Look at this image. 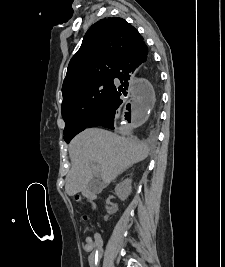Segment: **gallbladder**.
<instances>
[{
    "mask_svg": "<svg viewBox=\"0 0 225 267\" xmlns=\"http://www.w3.org/2000/svg\"><path fill=\"white\" fill-rule=\"evenodd\" d=\"M89 188H90V189H93V183H90V184H89Z\"/></svg>",
    "mask_w": 225,
    "mask_h": 267,
    "instance_id": "obj_1",
    "label": "gallbladder"
}]
</instances>
